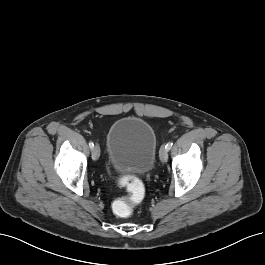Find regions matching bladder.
Returning <instances> with one entry per match:
<instances>
[{"label": "bladder", "mask_w": 265, "mask_h": 265, "mask_svg": "<svg viewBox=\"0 0 265 265\" xmlns=\"http://www.w3.org/2000/svg\"><path fill=\"white\" fill-rule=\"evenodd\" d=\"M106 147L112 166L120 173L146 174L154 166L157 139L152 126L142 118L128 116L113 122Z\"/></svg>", "instance_id": "bladder-1"}]
</instances>
